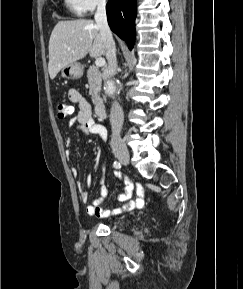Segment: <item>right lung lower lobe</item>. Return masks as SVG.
<instances>
[{"mask_svg":"<svg viewBox=\"0 0 243 289\" xmlns=\"http://www.w3.org/2000/svg\"><path fill=\"white\" fill-rule=\"evenodd\" d=\"M106 11L111 30L123 39L131 50L136 36V0H109Z\"/></svg>","mask_w":243,"mask_h":289,"instance_id":"right-lung-lower-lobe-1","label":"right lung lower lobe"}]
</instances>
